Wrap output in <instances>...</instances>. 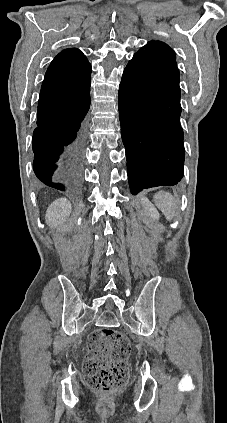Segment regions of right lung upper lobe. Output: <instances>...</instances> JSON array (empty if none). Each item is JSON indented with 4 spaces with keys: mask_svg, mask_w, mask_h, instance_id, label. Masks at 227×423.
<instances>
[{
    "mask_svg": "<svg viewBox=\"0 0 227 423\" xmlns=\"http://www.w3.org/2000/svg\"><path fill=\"white\" fill-rule=\"evenodd\" d=\"M91 70L80 50H63L53 59L45 74L40 97L66 100L90 94Z\"/></svg>",
    "mask_w": 227,
    "mask_h": 423,
    "instance_id": "cb5924a9",
    "label": "right lung upper lobe"
}]
</instances>
